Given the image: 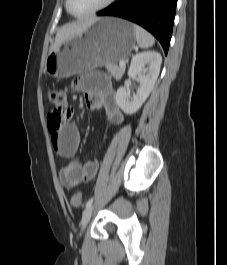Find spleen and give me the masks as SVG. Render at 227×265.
Segmentation results:
<instances>
[{"label":"spleen","mask_w":227,"mask_h":265,"mask_svg":"<svg viewBox=\"0 0 227 265\" xmlns=\"http://www.w3.org/2000/svg\"><path fill=\"white\" fill-rule=\"evenodd\" d=\"M136 41L139 47L148 48L155 43L154 37L139 25H133Z\"/></svg>","instance_id":"spleen-1"}]
</instances>
